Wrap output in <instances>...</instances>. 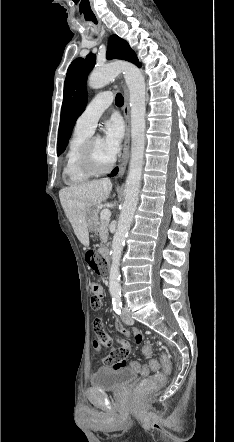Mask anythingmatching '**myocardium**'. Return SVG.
<instances>
[{"mask_svg":"<svg viewBox=\"0 0 234 442\" xmlns=\"http://www.w3.org/2000/svg\"><path fill=\"white\" fill-rule=\"evenodd\" d=\"M95 138H89L86 143L84 144L82 150H81V154H80V166L81 168L93 175H102L105 174L107 172H109L114 164H115V159L113 158L110 163L105 166V167H99L96 162H95V158H94V153H93V140Z\"/></svg>","mask_w":234,"mask_h":442,"instance_id":"f54148a6","label":"myocardium"}]
</instances>
